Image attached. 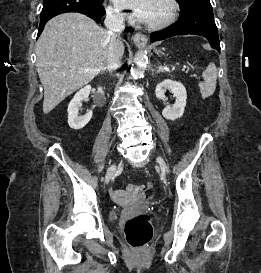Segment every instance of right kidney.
<instances>
[{
    "label": "right kidney",
    "mask_w": 261,
    "mask_h": 273,
    "mask_svg": "<svg viewBox=\"0 0 261 273\" xmlns=\"http://www.w3.org/2000/svg\"><path fill=\"white\" fill-rule=\"evenodd\" d=\"M98 97L102 99L103 89L98 87ZM91 92V86L87 85L80 89L73 97L68 105V124L72 129L79 130L82 129L92 118V111H88L84 116H79L78 111L82 105V101L87 99Z\"/></svg>",
    "instance_id": "ca27d5eb"
}]
</instances>
